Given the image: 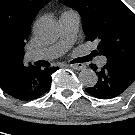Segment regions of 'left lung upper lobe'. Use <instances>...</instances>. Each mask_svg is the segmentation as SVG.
Wrapping results in <instances>:
<instances>
[{
  "instance_id": "left-lung-upper-lobe-1",
  "label": "left lung upper lobe",
  "mask_w": 135,
  "mask_h": 135,
  "mask_svg": "<svg viewBox=\"0 0 135 135\" xmlns=\"http://www.w3.org/2000/svg\"><path fill=\"white\" fill-rule=\"evenodd\" d=\"M79 12L96 54L107 63L135 73V15L120 0H60Z\"/></svg>"
}]
</instances>
